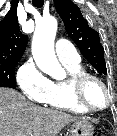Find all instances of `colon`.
Masks as SVG:
<instances>
[{"label":"colon","mask_w":117,"mask_h":136,"mask_svg":"<svg viewBox=\"0 0 117 136\" xmlns=\"http://www.w3.org/2000/svg\"><path fill=\"white\" fill-rule=\"evenodd\" d=\"M94 135L99 136V135H101V133L100 132H96Z\"/></svg>","instance_id":"colon-1"}]
</instances>
